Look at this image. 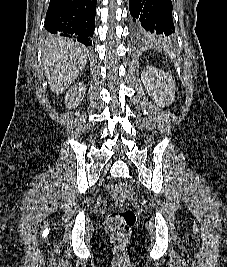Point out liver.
<instances>
[{
	"instance_id": "1",
	"label": "liver",
	"mask_w": 227,
	"mask_h": 267,
	"mask_svg": "<svg viewBox=\"0 0 227 267\" xmlns=\"http://www.w3.org/2000/svg\"><path fill=\"white\" fill-rule=\"evenodd\" d=\"M41 61L51 91L59 95L84 70L87 49L74 40L50 37L43 48Z\"/></svg>"
}]
</instances>
